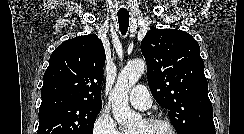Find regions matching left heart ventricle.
<instances>
[{
	"mask_svg": "<svg viewBox=\"0 0 244 134\" xmlns=\"http://www.w3.org/2000/svg\"><path fill=\"white\" fill-rule=\"evenodd\" d=\"M132 134H171L170 131L162 125H147L141 122Z\"/></svg>",
	"mask_w": 244,
	"mask_h": 134,
	"instance_id": "obj_1",
	"label": "left heart ventricle"
}]
</instances>
